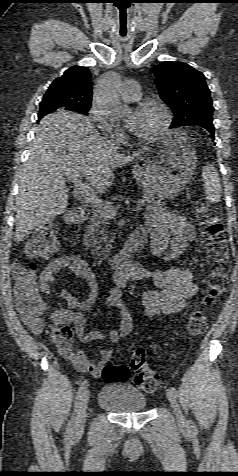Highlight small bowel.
I'll use <instances>...</instances> for the list:
<instances>
[{
	"mask_svg": "<svg viewBox=\"0 0 238 476\" xmlns=\"http://www.w3.org/2000/svg\"><path fill=\"white\" fill-rule=\"evenodd\" d=\"M144 232L151 235V252L158 257L171 260L181 255L194 238V228L180 214L167 211H155L146 216ZM136 270L119 272L114 275L115 286L107 300L108 308L121 309L118 329H98L86 332L84 312L90 311L99 296V283L91 266L75 255H61L50 260L39 273L38 291L47 295L52 292L56 275L64 271L84 279L89 288L85 299H77L67 285L60 290L61 297L67 304L66 309L56 310L51 314L53 324L51 338L60 354L72 362L74 367L92 375L101 376L103 368L112 357V351L103 349L100 361L93 363L83 349L75 350L73 341L76 337L81 343H90L103 337L110 343H117L127 337L133 330L134 317L122 298V288L129 281L149 279L158 290H147L142 294L144 316L152 318L170 315L187 307L197 293V285L192 273L185 268L174 267L167 270H150L135 263ZM43 309L46 303L40 298Z\"/></svg>",
	"mask_w": 238,
	"mask_h": 476,
	"instance_id": "1",
	"label": "small bowel"
}]
</instances>
